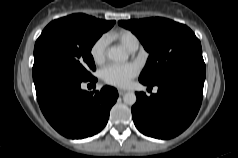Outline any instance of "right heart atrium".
<instances>
[{"label":"right heart atrium","mask_w":238,"mask_h":158,"mask_svg":"<svg viewBox=\"0 0 238 158\" xmlns=\"http://www.w3.org/2000/svg\"><path fill=\"white\" fill-rule=\"evenodd\" d=\"M108 39L106 36L99 37L90 48V55L96 64H102L106 58Z\"/></svg>","instance_id":"obj_1"}]
</instances>
